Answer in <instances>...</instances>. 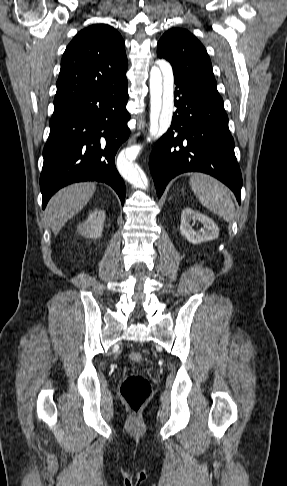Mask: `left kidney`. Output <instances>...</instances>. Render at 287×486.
<instances>
[{"label":"left kidney","instance_id":"obj_1","mask_svg":"<svg viewBox=\"0 0 287 486\" xmlns=\"http://www.w3.org/2000/svg\"><path fill=\"white\" fill-rule=\"evenodd\" d=\"M195 221L202 223L203 227L199 230H194L192 222ZM180 231L181 234L192 244H200L211 241L217 239L219 236V228L214 221L206 215L198 211H194L191 208H185L181 213Z\"/></svg>","mask_w":287,"mask_h":486}]
</instances>
